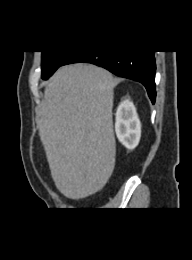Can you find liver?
<instances>
[{
	"label": "liver",
	"mask_w": 192,
	"mask_h": 260,
	"mask_svg": "<svg viewBox=\"0 0 192 260\" xmlns=\"http://www.w3.org/2000/svg\"><path fill=\"white\" fill-rule=\"evenodd\" d=\"M117 82L106 69L76 63L58 69L45 87L39 135L54 183L67 198L98 192L113 172Z\"/></svg>",
	"instance_id": "obj_1"
}]
</instances>
